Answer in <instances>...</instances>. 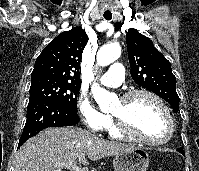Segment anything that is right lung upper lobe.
Segmentation results:
<instances>
[{
	"label": "right lung upper lobe",
	"instance_id": "obj_1",
	"mask_svg": "<svg viewBox=\"0 0 199 171\" xmlns=\"http://www.w3.org/2000/svg\"><path fill=\"white\" fill-rule=\"evenodd\" d=\"M88 36L80 27L55 37L36 59L31 78L49 77L81 84L79 69Z\"/></svg>",
	"mask_w": 199,
	"mask_h": 171
}]
</instances>
